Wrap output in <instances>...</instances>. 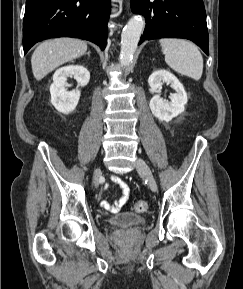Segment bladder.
Returning a JSON list of instances; mask_svg holds the SVG:
<instances>
[{
  "label": "bladder",
  "instance_id": "31cf9c89",
  "mask_svg": "<svg viewBox=\"0 0 243 289\" xmlns=\"http://www.w3.org/2000/svg\"><path fill=\"white\" fill-rule=\"evenodd\" d=\"M109 223L118 228H133L144 225L146 218L131 212H123L112 216Z\"/></svg>",
  "mask_w": 243,
  "mask_h": 289
}]
</instances>
